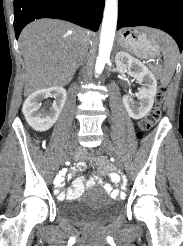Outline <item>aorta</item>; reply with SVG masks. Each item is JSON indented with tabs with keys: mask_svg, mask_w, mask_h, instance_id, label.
Returning a JSON list of instances; mask_svg holds the SVG:
<instances>
[{
	"mask_svg": "<svg viewBox=\"0 0 183 246\" xmlns=\"http://www.w3.org/2000/svg\"><path fill=\"white\" fill-rule=\"evenodd\" d=\"M118 16V0H106L102 29L100 35L99 54L96 59L95 72L101 74L110 59Z\"/></svg>",
	"mask_w": 183,
	"mask_h": 246,
	"instance_id": "aorta-1",
	"label": "aorta"
}]
</instances>
